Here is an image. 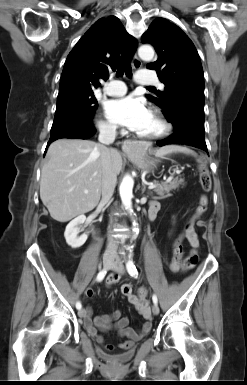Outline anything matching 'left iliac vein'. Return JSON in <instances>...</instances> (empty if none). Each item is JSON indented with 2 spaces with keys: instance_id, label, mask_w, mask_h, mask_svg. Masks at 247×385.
<instances>
[{
  "instance_id": "left-iliac-vein-1",
  "label": "left iliac vein",
  "mask_w": 247,
  "mask_h": 385,
  "mask_svg": "<svg viewBox=\"0 0 247 385\" xmlns=\"http://www.w3.org/2000/svg\"><path fill=\"white\" fill-rule=\"evenodd\" d=\"M111 269L114 270V271L120 272V273L124 272V266H123L122 260L119 257H116V260L112 264ZM152 312H153L154 315H158L159 314V307H158L157 304H154L152 306Z\"/></svg>"
}]
</instances>
